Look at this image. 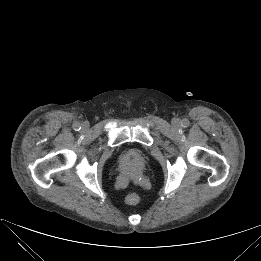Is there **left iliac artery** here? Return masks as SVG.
I'll return each mask as SVG.
<instances>
[{
    "mask_svg": "<svg viewBox=\"0 0 261 261\" xmlns=\"http://www.w3.org/2000/svg\"><path fill=\"white\" fill-rule=\"evenodd\" d=\"M190 124L189 120L188 119H184L183 122H182V126L183 127H188Z\"/></svg>",
    "mask_w": 261,
    "mask_h": 261,
    "instance_id": "44dca946",
    "label": "left iliac artery"
}]
</instances>
